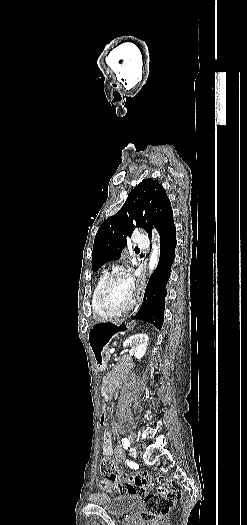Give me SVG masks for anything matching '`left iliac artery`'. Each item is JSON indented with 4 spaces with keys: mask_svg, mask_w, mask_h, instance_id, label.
Segmentation results:
<instances>
[{
    "mask_svg": "<svg viewBox=\"0 0 247 525\" xmlns=\"http://www.w3.org/2000/svg\"><path fill=\"white\" fill-rule=\"evenodd\" d=\"M122 446H123L124 449H128L129 448L130 442H129V440L127 438H123L122 439Z\"/></svg>",
    "mask_w": 247,
    "mask_h": 525,
    "instance_id": "obj_1",
    "label": "left iliac artery"
}]
</instances>
